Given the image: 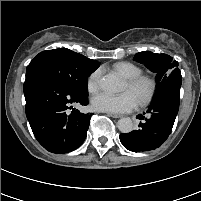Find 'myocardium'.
Instances as JSON below:
<instances>
[{
  "label": "myocardium",
  "mask_w": 201,
  "mask_h": 201,
  "mask_svg": "<svg viewBox=\"0 0 201 201\" xmlns=\"http://www.w3.org/2000/svg\"><path fill=\"white\" fill-rule=\"evenodd\" d=\"M126 83L131 90L140 93L137 99L139 105H148L153 100L156 93V82L150 76L138 75L127 79Z\"/></svg>",
  "instance_id": "obj_1"
}]
</instances>
